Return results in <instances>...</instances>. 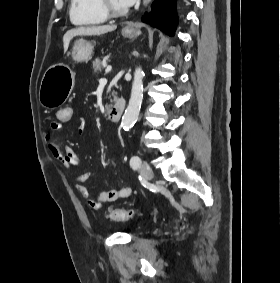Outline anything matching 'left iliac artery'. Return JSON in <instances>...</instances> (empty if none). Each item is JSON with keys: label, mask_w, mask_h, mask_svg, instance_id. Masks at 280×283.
Masks as SVG:
<instances>
[{"label": "left iliac artery", "mask_w": 280, "mask_h": 283, "mask_svg": "<svg viewBox=\"0 0 280 283\" xmlns=\"http://www.w3.org/2000/svg\"><path fill=\"white\" fill-rule=\"evenodd\" d=\"M141 164V159L138 157V156H133L131 159H130V166L136 170L138 169V167L140 166Z\"/></svg>", "instance_id": "44dca946"}]
</instances>
